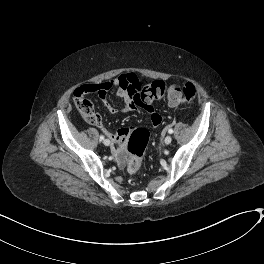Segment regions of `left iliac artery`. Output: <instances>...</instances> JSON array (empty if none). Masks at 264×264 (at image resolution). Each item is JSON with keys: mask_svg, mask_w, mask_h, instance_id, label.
I'll list each match as a JSON object with an SVG mask.
<instances>
[{"mask_svg": "<svg viewBox=\"0 0 264 264\" xmlns=\"http://www.w3.org/2000/svg\"><path fill=\"white\" fill-rule=\"evenodd\" d=\"M168 133H169V134H172V133H173V129H169V130H168Z\"/></svg>", "mask_w": 264, "mask_h": 264, "instance_id": "obj_1", "label": "left iliac artery"}]
</instances>
